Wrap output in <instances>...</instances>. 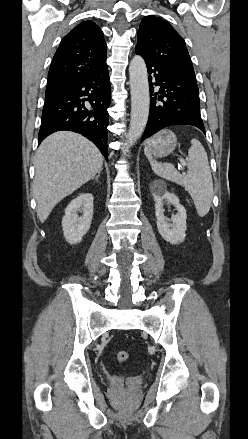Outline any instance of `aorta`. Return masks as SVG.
<instances>
[{
  "label": "aorta",
  "instance_id": "762f6f07",
  "mask_svg": "<svg viewBox=\"0 0 248 439\" xmlns=\"http://www.w3.org/2000/svg\"><path fill=\"white\" fill-rule=\"evenodd\" d=\"M131 92V120L127 140L130 146L142 135L147 124L150 106L149 84L146 64L135 55L129 65Z\"/></svg>",
  "mask_w": 248,
  "mask_h": 439
}]
</instances>
